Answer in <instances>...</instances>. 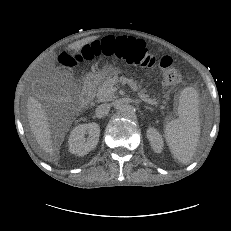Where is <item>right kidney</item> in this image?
I'll list each match as a JSON object with an SVG mask.
<instances>
[{
  "label": "right kidney",
  "instance_id": "obj_1",
  "mask_svg": "<svg viewBox=\"0 0 231 231\" xmlns=\"http://www.w3.org/2000/svg\"><path fill=\"white\" fill-rule=\"evenodd\" d=\"M85 135H88L85 138ZM100 127L97 123L79 124L69 136V151L78 156H84L93 150L99 141Z\"/></svg>",
  "mask_w": 231,
  "mask_h": 231
}]
</instances>
